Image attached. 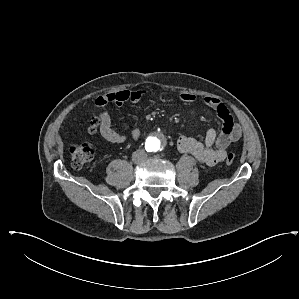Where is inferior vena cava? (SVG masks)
<instances>
[{
  "label": "inferior vena cava",
  "instance_id": "602c4592",
  "mask_svg": "<svg viewBox=\"0 0 299 299\" xmlns=\"http://www.w3.org/2000/svg\"><path fill=\"white\" fill-rule=\"evenodd\" d=\"M146 158V153L144 150H137L132 155V160L135 163H141Z\"/></svg>",
  "mask_w": 299,
  "mask_h": 299
}]
</instances>
